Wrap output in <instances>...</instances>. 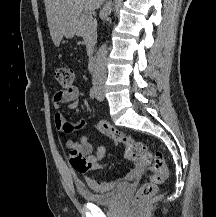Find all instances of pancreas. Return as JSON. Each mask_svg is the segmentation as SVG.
Masks as SVG:
<instances>
[{"label":"pancreas","mask_w":216,"mask_h":217,"mask_svg":"<svg viewBox=\"0 0 216 217\" xmlns=\"http://www.w3.org/2000/svg\"><path fill=\"white\" fill-rule=\"evenodd\" d=\"M75 33L77 36L83 37L86 44L87 54L91 56L93 47L96 43L97 22L95 19H90L88 15L82 14L75 22Z\"/></svg>","instance_id":"obj_1"}]
</instances>
